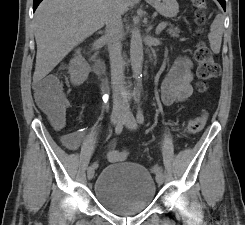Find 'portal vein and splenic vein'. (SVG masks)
<instances>
[{
  "label": "portal vein and splenic vein",
  "instance_id": "obj_1",
  "mask_svg": "<svg viewBox=\"0 0 245 225\" xmlns=\"http://www.w3.org/2000/svg\"><path fill=\"white\" fill-rule=\"evenodd\" d=\"M167 26V23H165V22H162V23H160L158 26H157V33L158 32H161L165 27Z\"/></svg>",
  "mask_w": 245,
  "mask_h": 225
}]
</instances>
